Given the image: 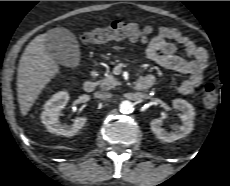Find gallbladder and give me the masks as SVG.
Returning <instances> with one entry per match:
<instances>
[{
  "label": "gallbladder",
  "mask_w": 230,
  "mask_h": 186,
  "mask_svg": "<svg viewBox=\"0 0 230 186\" xmlns=\"http://www.w3.org/2000/svg\"><path fill=\"white\" fill-rule=\"evenodd\" d=\"M46 48L51 57L66 67H76L80 62V51L76 37L67 29L54 28L47 32Z\"/></svg>",
  "instance_id": "obj_1"
}]
</instances>
